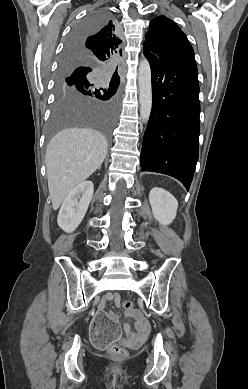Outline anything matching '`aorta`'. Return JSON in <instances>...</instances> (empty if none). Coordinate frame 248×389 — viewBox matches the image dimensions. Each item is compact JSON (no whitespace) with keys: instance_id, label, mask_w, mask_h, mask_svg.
Returning <instances> with one entry per match:
<instances>
[{"instance_id":"obj_1","label":"aorta","mask_w":248,"mask_h":389,"mask_svg":"<svg viewBox=\"0 0 248 389\" xmlns=\"http://www.w3.org/2000/svg\"><path fill=\"white\" fill-rule=\"evenodd\" d=\"M138 87L140 117L144 122H147L149 120L152 108L151 69L147 59H143L139 65Z\"/></svg>"}]
</instances>
